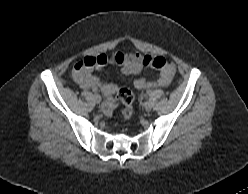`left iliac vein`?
Here are the masks:
<instances>
[{
    "label": "left iliac vein",
    "mask_w": 248,
    "mask_h": 194,
    "mask_svg": "<svg viewBox=\"0 0 248 194\" xmlns=\"http://www.w3.org/2000/svg\"><path fill=\"white\" fill-rule=\"evenodd\" d=\"M144 109H145L146 111H150V110L152 109V103H151L150 101H146V102L144 103Z\"/></svg>",
    "instance_id": "obj_1"
}]
</instances>
